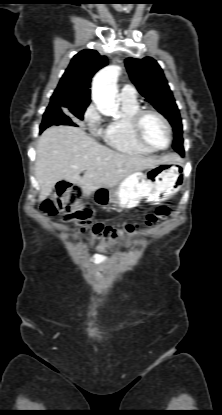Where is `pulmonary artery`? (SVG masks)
I'll use <instances>...</instances> for the list:
<instances>
[{
	"instance_id": "e3ab8cb5",
	"label": "pulmonary artery",
	"mask_w": 222,
	"mask_h": 415,
	"mask_svg": "<svg viewBox=\"0 0 222 415\" xmlns=\"http://www.w3.org/2000/svg\"><path fill=\"white\" fill-rule=\"evenodd\" d=\"M120 98L124 100H132L136 99V90L133 86L129 84H125L121 88Z\"/></svg>"
}]
</instances>
